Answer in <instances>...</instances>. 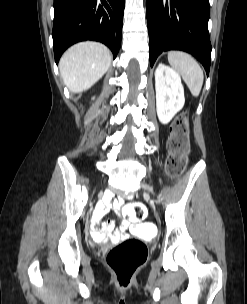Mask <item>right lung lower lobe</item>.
Here are the masks:
<instances>
[{"label":"right lung lower lobe","mask_w":247,"mask_h":304,"mask_svg":"<svg viewBox=\"0 0 247 304\" xmlns=\"http://www.w3.org/2000/svg\"><path fill=\"white\" fill-rule=\"evenodd\" d=\"M125 0H54L53 47L58 63L72 44L95 40L107 45L113 57L121 45Z\"/></svg>","instance_id":"98d812e1"}]
</instances>
